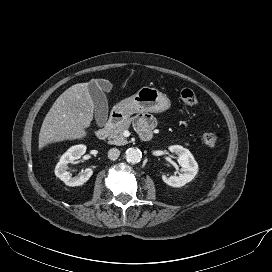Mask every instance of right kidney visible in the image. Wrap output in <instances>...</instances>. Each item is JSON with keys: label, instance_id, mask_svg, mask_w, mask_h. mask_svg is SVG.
Returning <instances> with one entry per match:
<instances>
[{"label": "right kidney", "instance_id": "1", "mask_svg": "<svg viewBox=\"0 0 272 272\" xmlns=\"http://www.w3.org/2000/svg\"><path fill=\"white\" fill-rule=\"evenodd\" d=\"M86 152L85 145L72 146L65 152L55 167V175L63 181L67 186H81L89 180L93 174L91 168H86L80 176L72 177L67 172L68 164L76 159H79Z\"/></svg>", "mask_w": 272, "mask_h": 272}]
</instances>
